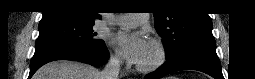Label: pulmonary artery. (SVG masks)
<instances>
[{
  "label": "pulmonary artery",
  "instance_id": "obj_1",
  "mask_svg": "<svg viewBox=\"0 0 255 79\" xmlns=\"http://www.w3.org/2000/svg\"><path fill=\"white\" fill-rule=\"evenodd\" d=\"M149 20V14H123L116 16L114 22L119 25H130L133 23H142L147 22Z\"/></svg>",
  "mask_w": 255,
  "mask_h": 79
}]
</instances>
